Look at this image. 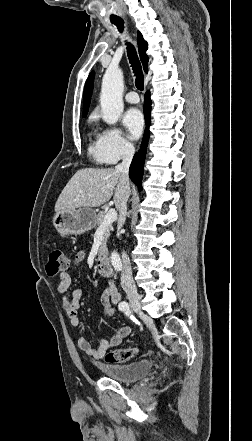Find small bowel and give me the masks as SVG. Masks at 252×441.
Wrapping results in <instances>:
<instances>
[{
    "instance_id": "small-bowel-1",
    "label": "small bowel",
    "mask_w": 252,
    "mask_h": 441,
    "mask_svg": "<svg viewBox=\"0 0 252 441\" xmlns=\"http://www.w3.org/2000/svg\"><path fill=\"white\" fill-rule=\"evenodd\" d=\"M86 257V251H78L73 259L72 264L59 275V282L57 289L60 293H66L69 290L71 284L70 271L77 265H79ZM82 298V291L80 289H75L72 291L69 297L65 296L63 298V309L70 319V323L74 327L79 326L78 310L80 307V300ZM121 300V295L117 289L114 281H108L105 290L101 295L102 305H117ZM131 333V328L129 326H123L117 329L108 340L101 339L98 341L97 345H92L86 338L81 337L78 339V347L84 351L87 355L93 357L94 359H102L105 357L106 353L121 345L123 340L128 337Z\"/></svg>"
}]
</instances>
